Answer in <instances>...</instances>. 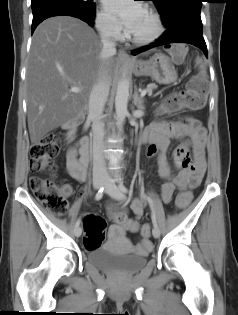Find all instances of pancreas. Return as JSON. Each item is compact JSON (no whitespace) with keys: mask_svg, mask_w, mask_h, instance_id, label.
Segmentation results:
<instances>
[{"mask_svg":"<svg viewBox=\"0 0 238 315\" xmlns=\"http://www.w3.org/2000/svg\"><path fill=\"white\" fill-rule=\"evenodd\" d=\"M158 86L155 83H150L147 85V92L149 95H152V91L156 89Z\"/></svg>","mask_w":238,"mask_h":315,"instance_id":"pancreas-1","label":"pancreas"}]
</instances>
